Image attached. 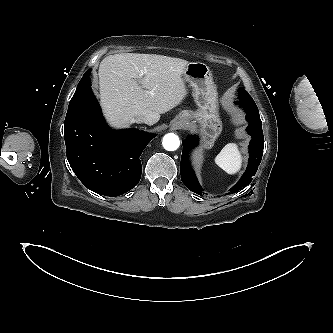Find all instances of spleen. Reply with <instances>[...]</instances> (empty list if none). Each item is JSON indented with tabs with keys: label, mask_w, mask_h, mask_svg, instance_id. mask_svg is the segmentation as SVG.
<instances>
[{
	"label": "spleen",
	"mask_w": 333,
	"mask_h": 333,
	"mask_svg": "<svg viewBox=\"0 0 333 333\" xmlns=\"http://www.w3.org/2000/svg\"><path fill=\"white\" fill-rule=\"evenodd\" d=\"M216 164L228 174L239 172L242 156L236 143H228L215 158Z\"/></svg>",
	"instance_id": "obj_1"
}]
</instances>
